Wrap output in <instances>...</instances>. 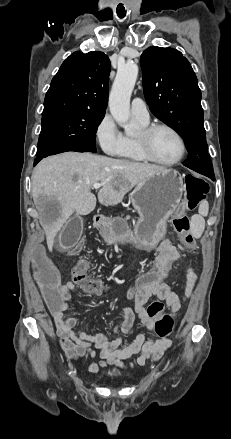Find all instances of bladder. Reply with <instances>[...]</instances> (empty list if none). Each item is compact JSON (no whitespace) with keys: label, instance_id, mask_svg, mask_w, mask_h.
<instances>
[{"label":"bladder","instance_id":"obj_1","mask_svg":"<svg viewBox=\"0 0 231 439\" xmlns=\"http://www.w3.org/2000/svg\"><path fill=\"white\" fill-rule=\"evenodd\" d=\"M109 375H110L111 377H117V376H118V374L115 373V372H111Z\"/></svg>","mask_w":231,"mask_h":439}]
</instances>
